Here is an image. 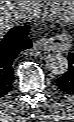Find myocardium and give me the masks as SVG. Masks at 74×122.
I'll list each match as a JSON object with an SVG mask.
<instances>
[{
  "instance_id": "1",
  "label": "myocardium",
  "mask_w": 74,
  "mask_h": 122,
  "mask_svg": "<svg viewBox=\"0 0 74 122\" xmlns=\"http://www.w3.org/2000/svg\"><path fill=\"white\" fill-rule=\"evenodd\" d=\"M47 2H48V5L50 6L51 11H53L54 13L58 15L63 16L60 10L58 9L59 1H47ZM72 14H74V1H73V6L67 11L65 16L68 17V16H71Z\"/></svg>"
}]
</instances>
